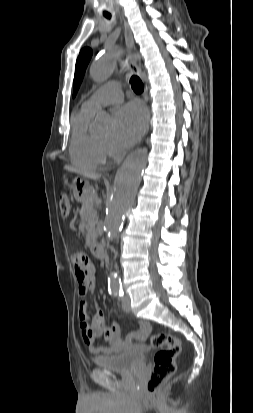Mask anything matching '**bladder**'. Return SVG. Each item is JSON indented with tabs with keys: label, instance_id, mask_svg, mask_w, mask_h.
<instances>
[{
	"label": "bladder",
	"instance_id": "31cf9c89",
	"mask_svg": "<svg viewBox=\"0 0 253 413\" xmlns=\"http://www.w3.org/2000/svg\"><path fill=\"white\" fill-rule=\"evenodd\" d=\"M145 361V352L141 349L121 352L112 355L97 356L93 359L96 366L111 371L127 372Z\"/></svg>",
	"mask_w": 253,
	"mask_h": 413
}]
</instances>
